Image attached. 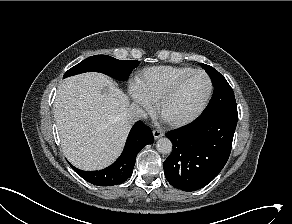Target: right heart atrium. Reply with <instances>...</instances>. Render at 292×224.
<instances>
[{
  "instance_id": "obj_1",
  "label": "right heart atrium",
  "mask_w": 292,
  "mask_h": 224,
  "mask_svg": "<svg viewBox=\"0 0 292 224\" xmlns=\"http://www.w3.org/2000/svg\"><path fill=\"white\" fill-rule=\"evenodd\" d=\"M131 99L141 108L148 110L151 108L150 101L133 85L129 89Z\"/></svg>"
}]
</instances>
